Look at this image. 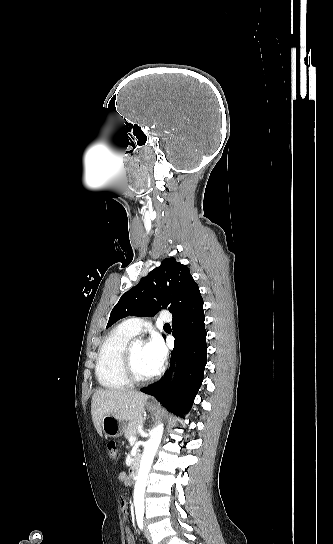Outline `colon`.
<instances>
[{
    "instance_id": "1",
    "label": "colon",
    "mask_w": 333,
    "mask_h": 544,
    "mask_svg": "<svg viewBox=\"0 0 333 544\" xmlns=\"http://www.w3.org/2000/svg\"><path fill=\"white\" fill-rule=\"evenodd\" d=\"M107 450H108V455L111 459L115 460L118 457V449H117L116 442L109 441L107 443Z\"/></svg>"
}]
</instances>
